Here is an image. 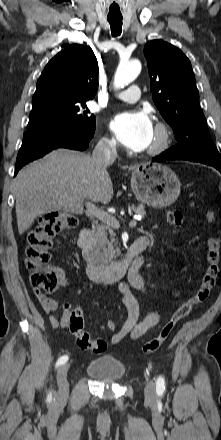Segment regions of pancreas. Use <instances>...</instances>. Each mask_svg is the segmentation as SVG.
Returning a JSON list of instances; mask_svg holds the SVG:
<instances>
[{
    "mask_svg": "<svg viewBox=\"0 0 221 440\" xmlns=\"http://www.w3.org/2000/svg\"><path fill=\"white\" fill-rule=\"evenodd\" d=\"M131 210L138 215L145 216V207L143 204L138 206H132ZM110 236V241L107 239V236ZM91 236L93 238V242L88 247V250L93 253L98 252V243H104L108 246V258L109 260L115 258L116 251L114 250L113 245L115 244V233L112 229V226L106 223H93Z\"/></svg>",
    "mask_w": 221,
    "mask_h": 440,
    "instance_id": "cf45deb5",
    "label": "pancreas"
}]
</instances>
